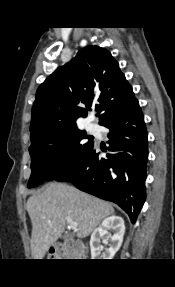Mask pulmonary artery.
Listing matches in <instances>:
<instances>
[{
	"instance_id": "obj_1",
	"label": "pulmonary artery",
	"mask_w": 175,
	"mask_h": 287,
	"mask_svg": "<svg viewBox=\"0 0 175 287\" xmlns=\"http://www.w3.org/2000/svg\"><path fill=\"white\" fill-rule=\"evenodd\" d=\"M88 130L92 133H95L97 131V127L94 124L90 123L88 125Z\"/></svg>"
}]
</instances>
